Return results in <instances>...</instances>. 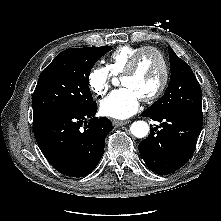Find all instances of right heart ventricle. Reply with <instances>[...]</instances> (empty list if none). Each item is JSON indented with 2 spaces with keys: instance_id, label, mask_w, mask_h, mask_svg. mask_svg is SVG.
Listing matches in <instances>:
<instances>
[{
  "instance_id": "1",
  "label": "right heart ventricle",
  "mask_w": 221,
  "mask_h": 221,
  "mask_svg": "<svg viewBox=\"0 0 221 221\" xmlns=\"http://www.w3.org/2000/svg\"><path fill=\"white\" fill-rule=\"evenodd\" d=\"M146 46H121L110 56L107 68L113 75H121L127 68L134 54Z\"/></svg>"
}]
</instances>
